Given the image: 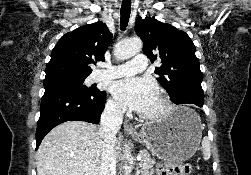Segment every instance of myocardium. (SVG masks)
<instances>
[{
  "instance_id": "f54148a6",
  "label": "myocardium",
  "mask_w": 251,
  "mask_h": 175,
  "mask_svg": "<svg viewBox=\"0 0 251 175\" xmlns=\"http://www.w3.org/2000/svg\"><path fill=\"white\" fill-rule=\"evenodd\" d=\"M158 109L155 112H152L148 115L150 119H164L167 118L173 112V104L172 101L166 97H160Z\"/></svg>"
}]
</instances>
